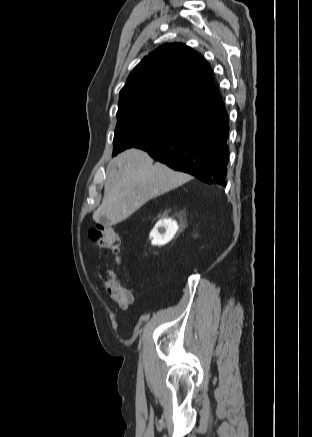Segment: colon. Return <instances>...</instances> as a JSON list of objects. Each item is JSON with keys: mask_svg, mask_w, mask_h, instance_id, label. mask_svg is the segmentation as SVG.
Masks as SVG:
<instances>
[{"mask_svg": "<svg viewBox=\"0 0 312 437\" xmlns=\"http://www.w3.org/2000/svg\"><path fill=\"white\" fill-rule=\"evenodd\" d=\"M89 237L96 242L101 248L112 253H117L120 249V236L111 226H98L89 230ZM105 294L112 299L118 306L125 308L131 300L128 289L120 284L116 276L108 273V277L101 283Z\"/></svg>", "mask_w": 312, "mask_h": 437, "instance_id": "obj_1", "label": "colon"}]
</instances>
